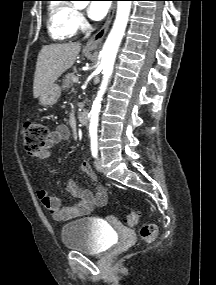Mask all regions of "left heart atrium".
I'll use <instances>...</instances> for the list:
<instances>
[{
	"label": "left heart atrium",
	"mask_w": 216,
	"mask_h": 285,
	"mask_svg": "<svg viewBox=\"0 0 216 285\" xmlns=\"http://www.w3.org/2000/svg\"><path fill=\"white\" fill-rule=\"evenodd\" d=\"M109 1H93L88 7V15L93 20H101L108 12Z\"/></svg>",
	"instance_id": "obj_1"
}]
</instances>
